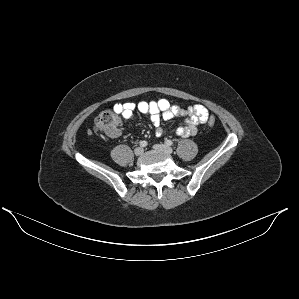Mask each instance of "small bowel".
Instances as JSON below:
<instances>
[{"label":"small bowel","instance_id":"1","mask_svg":"<svg viewBox=\"0 0 299 299\" xmlns=\"http://www.w3.org/2000/svg\"><path fill=\"white\" fill-rule=\"evenodd\" d=\"M113 110L125 120H131L135 111L148 115L155 128L156 136L158 137L164 133L161 127L162 120H171L177 116H187L185 123L176 129L177 135L186 138L195 135L198 131V126L205 123L209 116L208 110L203 105H194L188 109H183L171 104L166 99L118 102L113 105ZM109 135L113 138H117L120 136V131L117 130L115 133Z\"/></svg>","mask_w":299,"mask_h":299}]
</instances>
